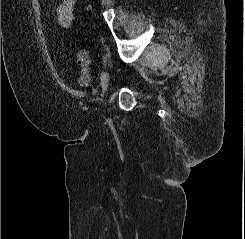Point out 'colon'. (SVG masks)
Instances as JSON below:
<instances>
[{"instance_id":"obj_1","label":"colon","mask_w":245,"mask_h":239,"mask_svg":"<svg viewBox=\"0 0 245 239\" xmlns=\"http://www.w3.org/2000/svg\"><path fill=\"white\" fill-rule=\"evenodd\" d=\"M76 62L79 66L78 83L82 87H87L91 83L90 58L84 49L76 53Z\"/></svg>"}]
</instances>
